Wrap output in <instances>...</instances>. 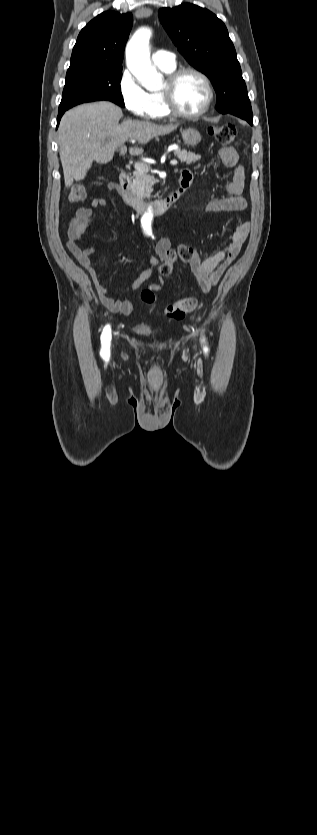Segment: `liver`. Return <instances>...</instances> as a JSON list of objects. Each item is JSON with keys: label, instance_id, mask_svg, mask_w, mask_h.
<instances>
[{"label": "liver", "instance_id": "1", "mask_svg": "<svg viewBox=\"0 0 317 835\" xmlns=\"http://www.w3.org/2000/svg\"><path fill=\"white\" fill-rule=\"evenodd\" d=\"M122 110L111 102L82 104L67 111L59 125V155L66 187L83 180L93 161L106 164L115 151L128 140L147 144L156 136L167 135L179 124L159 125L146 121L127 120L119 124ZM131 155L143 153L139 147L130 148Z\"/></svg>", "mask_w": 317, "mask_h": 835}]
</instances>
